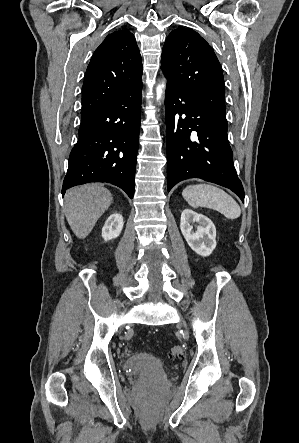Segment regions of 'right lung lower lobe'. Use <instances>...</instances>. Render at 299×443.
I'll use <instances>...</instances> for the list:
<instances>
[{"label":"right lung lower lobe","mask_w":299,"mask_h":443,"mask_svg":"<svg viewBox=\"0 0 299 443\" xmlns=\"http://www.w3.org/2000/svg\"><path fill=\"white\" fill-rule=\"evenodd\" d=\"M142 83L81 117L79 140L64 178L66 189L89 182H108L133 198L141 117Z\"/></svg>","instance_id":"obj_1"}]
</instances>
